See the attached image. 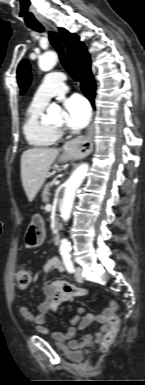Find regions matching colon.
Instances as JSON below:
<instances>
[{
    "label": "colon",
    "instance_id": "1",
    "mask_svg": "<svg viewBox=\"0 0 145 385\" xmlns=\"http://www.w3.org/2000/svg\"><path fill=\"white\" fill-rule=\"evenodd\" d=\"M14 277L17 286L20 289H26L32 280V273L28 267L21 265L15 269ZM58 288L64 293H78V288L75 286L70 287L66 284H60ZM106 310L108 312L107 321L109 329L101 341V345L103 348H107L112 344L120 328V316L117 313L116 305H111L107 307Z\"/></svg>",
    "mask_w": 145,
    "mask_h": 385
}]
</instances>
